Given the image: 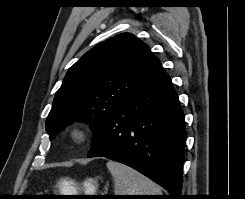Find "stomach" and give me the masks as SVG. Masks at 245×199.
<instances>
[{
  "label": "stomach",
  "instance_id": "1",
  "mask_svg": "<svg viewBox=\"0 0 245 199\" xmlns=\"http://www.w3.org/2000/svg\"><path fill=\"white\" fill-rule=\"evenodd\" d=\"M61 186H62V190L67 193H76L78 190V187L72 181L64 180L61 182ZM97 188H98V185L94 179H91V178L87 179L83 183V190L85 193H87L86 195H95L94 193H96ZM68 195H75V194H68Z\"/></svg>",
  "mask_w": 245,
  "mask_h": 199
}]
</instances>
